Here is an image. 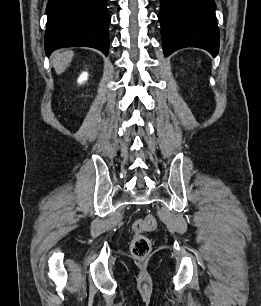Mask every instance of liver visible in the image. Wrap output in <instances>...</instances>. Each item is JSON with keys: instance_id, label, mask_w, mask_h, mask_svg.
Segmentation results:
<instances>
[{"instance_id": "liver-1", "label": "liver", "mask_w": 261, "mask_h": 306, "mask_svg": "<svg viewBox=\"0 0 261 306\" xmlns=\"http://www.w3.org/2000/svg\"><path fill=\"white\" fill-rule=\"evenodd\" d=\"M74 56V52L71 50H67L64 52H56L51 57V63L58 75L62 74Z\"/></svg>"}]
</instances>
